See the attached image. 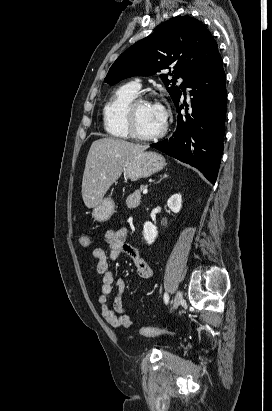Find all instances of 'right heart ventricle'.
Segmentation results:
<instances>
[{
	"label": "right heart ventricle",
	"mask_w": 272,
	"mask_h": 411,
	"mask_svg": "<svg viewBox=\"0 0 272 411\" xmlns=\"http://www.w3.org/2000/svg\"><path fill=\"white\" fill-rule=\"evenodd\" d=\"M138 95L131 84L116 89L103 107V121L106 132L117 138H128L125 110L129 102Z\"/></svg>",
	"instance_id": "right-heart-ventricle-1"
}]
</instances>
